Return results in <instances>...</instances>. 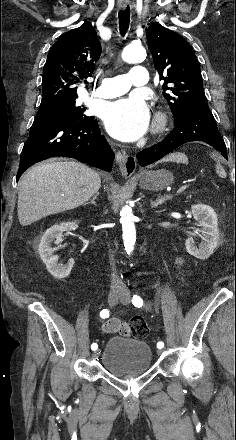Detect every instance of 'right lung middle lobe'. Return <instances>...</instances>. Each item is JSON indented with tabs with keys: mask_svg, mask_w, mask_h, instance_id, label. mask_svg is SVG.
Listing matches in <instances>:
<instances>
[{
	"mask_svg": "<svg viewBox=\"0 0 236 440\" xmlns=\"http://www.w3.org/2000/svg\"><path fill=\"white\" fill-rule=\"evenodd\" d=\"M84 111L85 109L76 106L75 100H73L64 103L40 106L38 113L61 114L79 120L89 117L83 114Z\"/></svg>",
	"mask_w": 236,
	"mask_h": 440,
	"instance_id": "obj_1",
	"label": "right lung middle lobe"
}]
</instances>
